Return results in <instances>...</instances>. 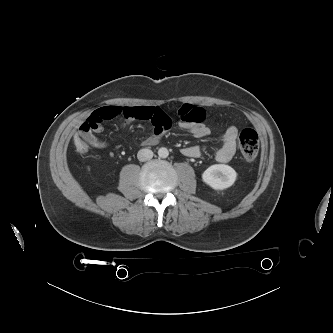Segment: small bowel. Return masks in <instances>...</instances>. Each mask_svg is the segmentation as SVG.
<instances>
[{
    "label": "small bowel",
    "mask_w": 333,
    "mask_h": 333,
    "mask_svg": "<svg viewBox=\"0 0 333 333\" xmlns=\"http://www.w3.org/2000/svg\"><path fill=\"white\" fill-rule=\"evenodd\" d=\"M179 127L191 133L196 138L206 137L210 130L205 125V111L201 107L192 104H183L179 110ZM108 120H118L125 126L133 120L150 121L153 125L151 134L143 140L145 145L157 144L172 125L171 118L159 107H120L108 106L94 111L80 126L77 136L84 138L90 145L96 148H104L106 144L99 140L96 133L103 130V123ZM238 129L235 126L228 127L222 135V143L216 151L215 159L220 163L229 162L237 149ZM182 153L191 158H197L201 154L199 146H187Z\"/></svg>",
    "instance_id": "c3829d8e"
}]
</instances>
